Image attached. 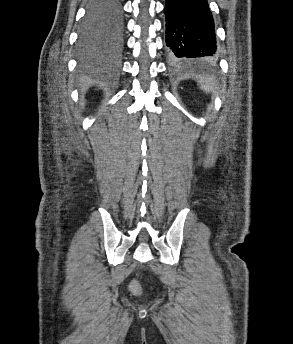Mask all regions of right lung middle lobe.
Instances as JSON below:
<instances>
[{
    "instance_id": "dd1d6c3e",
    "label": "right lung middle lobe",
    "mask_w": 293,
    "mask_h": 344,
    "mask_svg": "<svg viewBox=\"0 0 293 344\" xmlns=\"http://www.w3.org/2000/svg\"><path fill=\"white\" fill-rule=\"evenodd\" d=\"M122 10L119 0H92L80 31V47L97 49L115 43L121 30Z\"/></svg>"
}]
</instances>
